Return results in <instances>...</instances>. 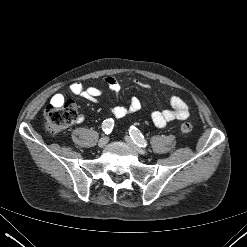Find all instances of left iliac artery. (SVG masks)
Here are the masks:
<instances>
[{
	"label": "left iliac artery",
	"mask_w": 247,
	"mask_h": 247,
	"mask_svg": "<svg viewBox=\"0 0 247 247\" xmlns=\"http://www.w3.org/2000/svg\"><path fill=\"white\" fill-rule=\"evenodd\" d=\"M129 134L132 138V140L140 147H146L148 145V142L145 140L144 136L140 133V131L134 127L131 126L129 129Z\"/></svg>",
	"instance_id": "1"
}]
</instances>
